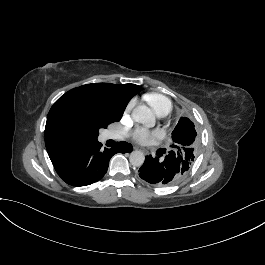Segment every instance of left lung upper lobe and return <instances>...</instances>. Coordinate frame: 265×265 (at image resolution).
I'll use <instances>...</instances> for the list:
<instances>
[{
	"label": "left lung upper lobe",
	"mask_w": 265,
	"mask_h": 265,
	"mask_svg": "<svg viewBox=\"0 0 265 265\" xmlns=\"http://www.w3.org/2000/svg\"><path fill=\"white\" fill-rule=\"evenodd\" d=\"M169 150L181 157L185 175L192 167L199 150V139L194 123L186 117H181L172 132V143Z\"/></svg>",
	"instance_id": "left-lung-upper-lobe-1"
}]
</instances>
